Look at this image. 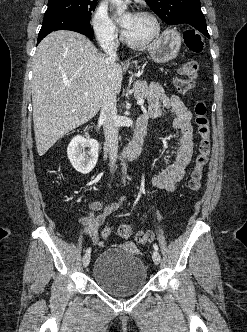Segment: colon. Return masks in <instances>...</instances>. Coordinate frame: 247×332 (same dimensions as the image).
<instances>
[{"label":"colon","instance_id":"colon-1","mask_svg":"<svg viewBox=\"0 0 247 332\" xmlns=\"http://www.w3.org/2000/svg\"><path fill=\"white\" fill-rule=\"evenodd\" d=\"M184 42L187 48L193 53H200L204 48L203 37L195 30H187L184 32ZM198 70L199 67L196 61H188L179 67V76L174 81L175 88L179 93L185 94L194 87L195 79L198 76ZM194 112V122L199 136V143L188 186L191 191L197 192L201 187L203 169L208 162L211 144L210 126L205 103L202 101L197 102ZM111 233V229L106 227L102 231V236L104 239H108L110 238ZM118 234L122 238H129L132 234V229L129 225H121L118 228ZM153 238L154 235L151 231H139L136 234V241L141 244L148 243L152 241Z\"/></svg>","mask_w":247,"mask_h":332}]
</instances>
